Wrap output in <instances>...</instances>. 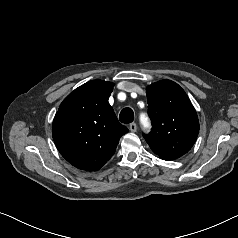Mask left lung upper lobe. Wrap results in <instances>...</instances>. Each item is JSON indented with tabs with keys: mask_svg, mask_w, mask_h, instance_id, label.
<instances>
[{
	"mask_svg": "<svg viewBox=\"0 0 238 238\" xmlns=\"http://www.w3.org/2000/svg\"><path fill=\"white\" fill-rule=\"evenodd\" d=\"M150 134L144 135L152 151L164 160L179 158L194 145L199 121L185 91L171 80H162L146 89Z\"/></svg>",
	"mask_w": 238,
	"mask_h": 238,
	"instance_id": "left-lung-upper-lobe-1",
	"label": "left lung upper lobe"
}]
</instances>
